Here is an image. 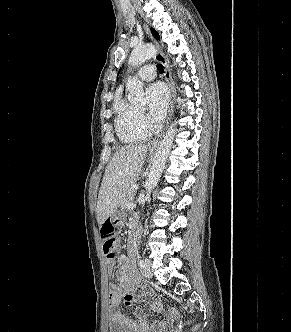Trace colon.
<instances>
[{"instance_id": "obj_1", "label": "colon", "mask_w": 291, "mask_h": 332, "mask_svg": "<svg viewBox=\"0 0 291 332\" xmlns=\"http://www.w3.org/2000/svg\"><path fill=\"white\" fill-rule=\"evenodd\" d=\"M101 238H102L104 255L109 259L114 258L118 246V239L116 236L114 226L110 222H106L102 226ZM194 329H197V327H195Z\"/></svg>"}]
</instances>
